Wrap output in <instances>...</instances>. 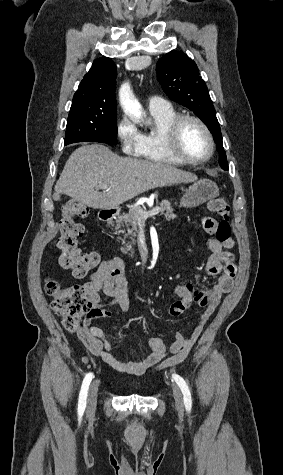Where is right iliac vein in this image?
I'll list each match as a JSON object with an SVG mask.
<instances>
[{"label": "right iliac vein", "mask_w": 283, "mask_h": 475, "mask_svg": "<svg viewBox=\"0 0 283 475\" xmlns=\"http://www.w3.org/2000/svg\"><path fill=\"white\" fill-rule=\"evenodd\" d=\"M99 383L98 381H94L88 391L87 397V414L92 416L95 411L96 407V399H97V392H98Z\"/></svg>", "instance_id": "obj_1"}]
</instances>
